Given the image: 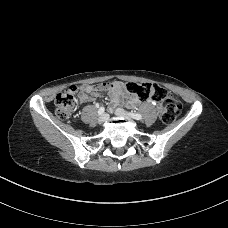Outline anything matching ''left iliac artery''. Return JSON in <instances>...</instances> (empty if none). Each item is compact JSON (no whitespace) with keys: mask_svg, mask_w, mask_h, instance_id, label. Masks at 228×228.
Masks as SVG:
<instances>
[{"mask_svg":"<svg viewBox=\"0 0 228 228\" xmlns=\"http://www.w3.org/2000/svg\"><path fill=\"white\" fill-rule=\"evenodd\" d=\"M129 115H130L131 117H133L134 119H136V120H141V119H142V115L139 114V113L129 112Z\"/></svg>","mask_w":228,"mask_h":228,"instance_id":"44dca946","label":"left iliac artery"}]
</instances>
